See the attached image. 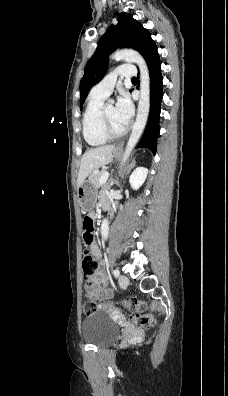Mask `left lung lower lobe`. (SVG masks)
Returning <instances> with one entry per match:
<instances>
[{"label": "left lung lower lobe", "instance_id": "0a47b994", "mask_svg": "<svg viewBox=\"0 0 228 396\" xmlns=\"http://www.w3.org/2000/svg\"><path fill=\"white\" fill-rule=\"evenodd\" d=\"M144 58L147 62L150 74V114L145 132L138 143V147L148 148L155 153L156 141L160 131L159 118L160 105L163 97V84L161 63L154 41L151 43Z\"/></svg>", "mask_w": 228, "mask_h": 396}]
</instances>
